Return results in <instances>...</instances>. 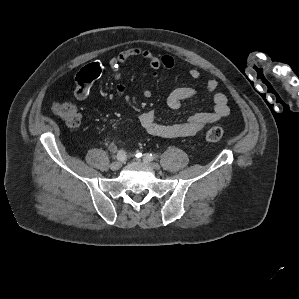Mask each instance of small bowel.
<instances>
[{
    "instance_id": "c3829d8e",
    "label": "small bowel",
    "mask_w": 299,
    "mask_h": 299,
    "mask_svg": "<svg viewBox=\"0 0 299 299\" xmlns=\"http://www.w3.org/2000/svg\"><path fill=\"white\" fill-rule=\"evenodd\" d=\"M133 57H140L146 60L151 68L153 78H157L159 70L171 69L175 65L174 58L170 55L158 56L149 50L142 48H130L120 52L117 56L110 59L115 81H121L123 78L122 66ZM101 67L99 63H91L83 67L76 76L75 98L79 101L86 100L90 95L92 83L100 76ZM190 78L199 79L201 73L198 69L193 68L188 72ZM217 81L210 79L206 83L208 91L213 92V108L210 111L198 112L188 117L185 121L179 123L166 124L160 122L154 111H146L139 116V122L142 128L150 135L163 138L190 137L200 132L206 125L219 121L230 113L228 98L225 94L215 92ZM125 87L122 83L117 86V94L123 97ZM153 94V86L144 90V96L150 97ZM197 90L191 86H182L173 89L168 98L167 104L171 109H179L183 101L194 97ZM110 150L115 151L116 146L110 145Z\"/></svg>"
}]
</instances>
